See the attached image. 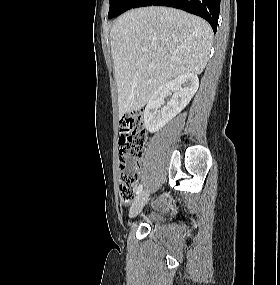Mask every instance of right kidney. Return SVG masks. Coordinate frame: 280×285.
<instances>
[{"label":"right kidney","instance_id":"ca27d5eb","mask_svg":"<svg viewBox=\"0 0 280 285\" xmlns=\"http://www.w3.org/2000/svg\"><path fill=\"white\" fill-rule=\"evenodd\" d=\"M199 87L198 76L194 73L182 74L159 87L149 99L144 111L146 129L157 132L179 114L190 102ZM174 92L166 106L164 98Z\"/></svg>","mask_w":280,"mask_h":285}]
</instances>
